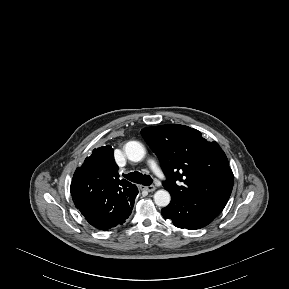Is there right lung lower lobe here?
I'll return each mask as SVG.
<instances>
[{
	"label": "right lung lower lobe",
	"mask_w": 289,
	"mask_h": 289,
	"mask_svg": "<svg viewBox=\"0 0 289 289\" xmlns=\"http://www.w3.org/2000/svg\"><path fill=\"white\" fill-rule=\"evenodd\" d=\"M76 181H72L71 183V195L75 194L76 190ZM135 194H138V189H135ZM74 197V196H73ZM134 200H130V202L122 201L117 204V206L113 207L112 210H103L100 212H87L80 211L83 216L86 218L87 222L93 227L107 231L112 227L117 225H122L124 220H126L132 212Z\"/></svg>",
	"instance_id": "98d812e1"
}]
</instances>
